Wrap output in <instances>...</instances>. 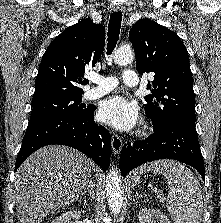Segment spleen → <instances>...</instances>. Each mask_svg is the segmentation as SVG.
Returning <instances> with one entry per match:
<instances>
[{
	"label": "spleen",
	"instance_id": "1",
	"mask_svg": "<svg viewBox=\"0 0 221 223\" xmlns=\"http://www.w3.org/2000/svg\"><path fill=\"white\" fill-rule=\"evenodd\" d=\"M164 175L169 185L168 212L174 223H201L203 214L202 191L193 172L170 159L145 164L140 169Z\"/></svg>",
	"mask_w": 221,
	"mask_h": 223
}]
</instances>
